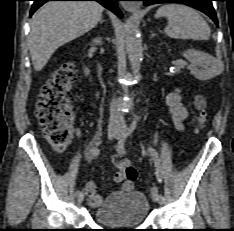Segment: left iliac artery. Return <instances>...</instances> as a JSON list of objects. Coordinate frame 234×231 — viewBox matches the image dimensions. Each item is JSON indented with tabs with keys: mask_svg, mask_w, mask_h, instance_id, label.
I'll return each mask as SVG.
<instances>
[{
	"mask_svg": "<svg viewBox=\"0 0 234 231\" xmlns=\"http://www.w3.org/2000/svg\"><path fill=\"white\" fill-rule=\"evenodd\" d=\"M136 126H137V122L134 121L131 126L128 128L127 132L124 134V136L118 141V145H117V151L121 154H125L126 151H125V141L127 139L128 136H130L134 130L136 129ZM153 161H154V164H155V167H156V178L158 180L159 183H161L162 181V169H161V165H160V159H159V156H158V153L153 149V148H149L148 149ZM158 200L160 202H164V197L161 193L158 194Z\"/></svg>",
	"mask_w": 234,
	"mask_h": 231,
	"instance_id": "44dca946",
	"label": "left iliac artery"
}]
</instances>
